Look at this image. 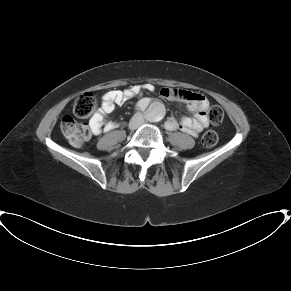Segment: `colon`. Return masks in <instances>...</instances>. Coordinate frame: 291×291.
<instances>
[{"mask_svg": "<svg viewBox=\"0 0 291 291\" xmlns=\"http://www.w3.org/2000/svg\"><path fill=\"white\" fill-rule=\"evenodd\" d=\"M97 107V99L92 93L80 95L74 102L73 112L77 118H87ZM209 120L213 124H220L223 120V110L219 105H211L207 110ZM62 134L75 146H82L91 138L89 126L78 123L74 118L67 116L61 121ZM218 136L214 131L206 132L202 137L205 147H212L217 143Z\"/></svg>", "mask_w": 291, "mask_h": 291, "instance_id": "colon-1", "label": "colon"}]
</instances>
